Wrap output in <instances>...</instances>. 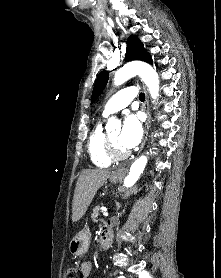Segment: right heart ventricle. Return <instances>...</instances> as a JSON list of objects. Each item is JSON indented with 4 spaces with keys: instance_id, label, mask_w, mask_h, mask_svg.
<instances>
[{
    "instance_id": "right-heart-ventricle-1",
    "label": "right heart ventricle",
    "mask_w": 221,
    "mask_h": 278,
    "mask_svg": "<svg viewBox=\"0 0 221 278\" xmlns=\"http://www.w3.org/2000/svg\"><path fill=\"white\" fill-rule=\"evenodd\" d=\"M105 135L102 121H99L90 132L87 144L92 163L102 168L111 164V160L105 153Z\"/></svg>"
}]
</instances>
